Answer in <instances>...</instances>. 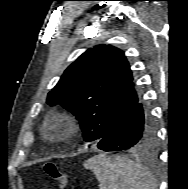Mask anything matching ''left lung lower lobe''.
<instances>
[{"label":"left lung lower lobe","mask_w":188,"mask_h":189,"mask_svg":"<svg viewBox=\"0 0 188 189\" xmlns=\"http://www.w3.org/2000/svg\"><path fill=\"white\" fill-rule=\"evenodd\" d=\"M154 124L144 104L138 101L127 110L97 143L104 151H128L153 143Z\"/></svg>","instance_id":"0a47b994"}]
</instances>
